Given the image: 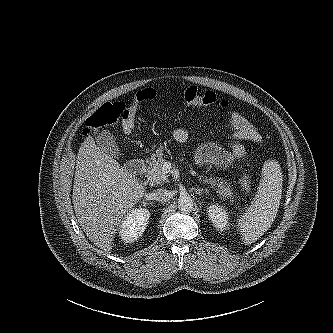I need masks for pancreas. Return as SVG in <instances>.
<instances>
[{
	"mask_svg": "<svg viewBox=\"0 0 333 333\" xmlns=\"http://www.w3.org/2000/svg\"><path fill=\"white\" fill-rule=\"evenodd\" d=\"M164 162L165 155L162 150H157L156 153L151 156L147 169V176L152 183L162 184L163 182L168 181V175L164 174L162 170ZM200 180L204 183L210 184L212 187H217V193L222 198H232L233 193L227 182L218 181L214 178H202V176L200 177Z\"/></svg>",
	"mask_w": 333,
	"mask_h": 333,
	"instance_id": "obj_1",
	"label": "pancreas"
}]
</instances>
